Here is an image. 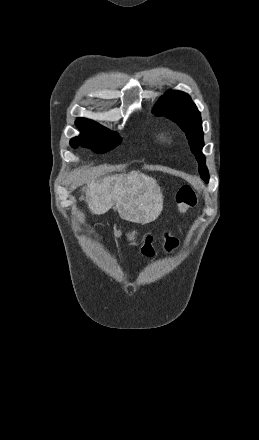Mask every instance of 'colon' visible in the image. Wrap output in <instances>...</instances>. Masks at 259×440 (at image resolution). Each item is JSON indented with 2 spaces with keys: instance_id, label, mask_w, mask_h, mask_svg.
<instances>
[{
  "instance_id": "colon-1",
  "label": "colon",
  "mask_w": 259,
  "mask_h": 440,
  "mask_svg": "<svg viewBox=\"0 0 259 440\" xmlns=\"http://www.w3.org/2000/svg\"><path fill=\"white\" fill-rule=\"evenodd\" d=\"M198 188L184 185L182 186L176 195V202L180 212L186 213L189 209L193 208L197 203ZM127 238L132 242L136 243L137 236L136 233L131 231L127 233ZM177 246V239L171 235L166 236L165 248L171 251ZM141 249L145 255L151 256L154 254L153 237L148 235L145 236L141 242Z\"/></svg>"
}]
</instances>
